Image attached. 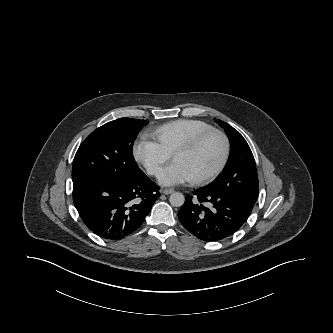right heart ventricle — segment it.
Instances as JSON below:
<instances>
[{
    "mask_svg": "<svg viewBox=\"0 0 333 333\" xmlns=\"http://www.w3.org/2000/svg\"><path fill=\"white\" fill-rule=\"evenodd\" d=\"M214 127L199 119H176L151 131L160 146L172 154L179 146Z\"/></svg>",
    "mask_w": 333,
    "mask_h": 333,
    "instance_id": "1",
    "label": "right heart ventricle"
}]
</instances>
